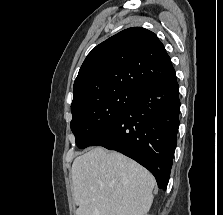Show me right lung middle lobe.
<instances>
[{
  "mask_svg": "<svg viewBox=\"0 0 223 215\" xmlns=\"http://www.w3.org/2000/svg\"><path fill=\"white\" fill-rule=\"evenodd\" d=\"M138 94L117 90L71 108V130L76 145L83 149L109 131L132 104Z\"/></svg>",
  "mask_w": 223,
  "mask_h": 215,
  "instance_id": "dd1d6c3e",
  "label": "right lung middle lobe"
}]
</instances>
